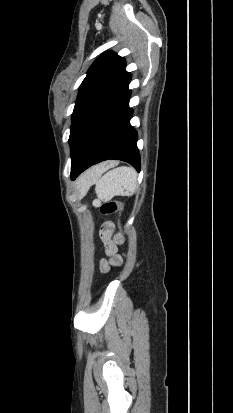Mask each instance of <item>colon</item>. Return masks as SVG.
<instances>
[{"instance_id": "obj_1", "label": "colon", "mask_w": 233, "mask_h": 413, "mask_svg": "<svg viewBox=\"0 0 233 413\" xmlns=\"http://www.w3.org/2000/svg\"><path fill=\"white\" fill-rule=\"evenodd\" d=\"M122 209V204L117 201H107L101 204L100 212L103 215H110Z\"/></svg>"}]
</instances>
